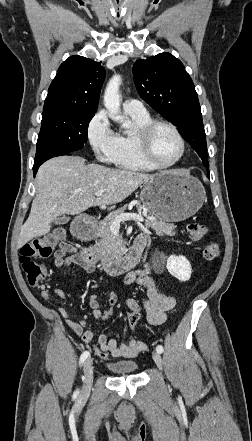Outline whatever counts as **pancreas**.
Here are the masks:
<instances>
[{"label":"pancreas","instance_id":"1","mask_svg":"<svg viewBox=\"0 0 252 441\" xmlns=\"http://www.w3.org/2000/svg\"><path fill=\"white\" fill-rule=\"evenodd\" d=\"M138 213L141 214L142 210L146 206L138 203L136 205ZM126 210V206H123L116 211L112 212L101 220L96 227V244L93 246V250L96 252L98 258L101 261H107L120 254V250L117 245L116 237L111 232L112 221L119 215L123 214ZM145 227L151 228L158 234L174 235L176 225L158 220L156 218L145 221Z\"/></svg>","mask_w":252,"mask_h":441}]
</instances>
